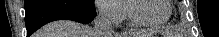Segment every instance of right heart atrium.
<instances>
[{
    "mask_svg": "<svg viewBox=\"0 0 219 37\" xmlns=\"http://www.w3.org/2000/svg\"><path fill=\"white\" fill-rule=\"evenodd\" d=\"M97 6L101 15L112 22L121 21L125 16V9L121 0L98 1Z\"/></svg>",
    "mask_w": 219,
    "mask_h": 37,
    "instance_id": "right-heart-atrium-1",
    "label": "right heart atrium"
}]
</instances>
